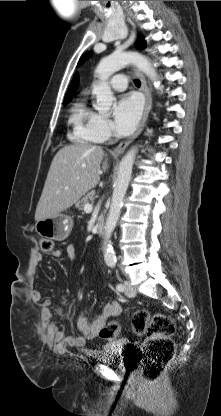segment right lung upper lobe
Returning a JSON list of instances; mask_svg holds the SVG:
<instances>
[{
    "label": "right lung upper lobe",
    "instance_id": "obj_1",
    "mask_svg": "<svg viewBox=\"0 0 221 416\" xmlns=\"http://www.w3.org/2000/svg\"><path fill=\"white\" fill-rule=\"evenodd\" d=\"M78 87V76L76 75L66 93L65 100L64 101H70L73 94L76 92Z\"/></svg>",
    "mask_w": 221,
    "mask_h": 416
}]
</instances>
